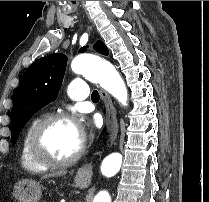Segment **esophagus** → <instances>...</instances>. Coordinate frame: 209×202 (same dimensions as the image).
<instances>
[{
    "label": "esophagus",
    "instance_id": "obj_1",
    "mask_svg": "<svg viewBox=\"0 0 209 202\" xmlns=\"http://www.w3.org/2000/svg\"><path fill=\"white\" fill-rule=\"evenodd\" d=\"M100 93H101V99H102L103 105L105 107L104 122H105V127H106V132H107V146L110 147L117 138L118 121L116 117V111H115L114 105L112 103V100L109 94L103 89L100 90ZM102 153H103L102 151H98L96 153V156L101 157ZM92 175H93L92 162L82 165L76 173V177L79 180H82L85 182H90Z\"/></svg>",
    "mask_w": 209,
    "mask_h": 202
}]
</instances>
